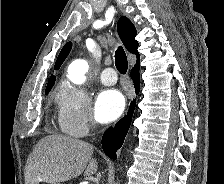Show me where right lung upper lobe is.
I'll list each match as a JSON object with an SVG mask.
<instances>
[{
	"label": "right lung upper lobe",
	"mask_w": 224,
	"mask_h": 184,
	"mask_svg": "<svg viewBox=\"0 0 224 184\" xmlns=\"http://www.w3.org/2000/svg\"><path fill=\"white\" fill-rule=\"evenodd\" d=\"M117 29H118V34L120 36L121 41L123 42L125 48L135 54L137 56V63L136 65H139V60H140V56L138 54L137 48H138V42L135 40V36H136V28L135 26L132 24V22L125 16H122L117 23ZM72 48V43L68 42L64 45V47L62 48L56 63L54 65V69L58 70L60 68V66L62 65V63L64 62V60L66 59V57L68 56L70 50ZM135 65V66H136ZM56 80V77L54 75L50 76V79L48 81L47 89H51L52 86L54 85Z\"/></svg>",
	"instance_id": "obj_1"
}]
</instances>
